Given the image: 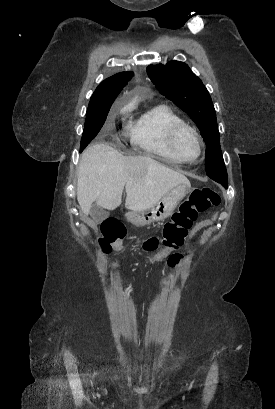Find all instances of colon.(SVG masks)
Listing matches in <instances>:
<instances>
[{"label":"colon","instance_id":"1","mask_svg":"<svg viewBox=\"0 0 275 409\" xmlns=\"http://www.w3.org/2000/svg\"><path fill=\"white\" fill-rule=\"evenodd\" d=\"M219 205L220 197L213 189L204 187L193 190L181 202L172 219L165 223L161 235L146 239L142 247L149 252L160 248L158 255L163 258L168 257L173 250L180 248L185 243L188 231L197 215L201 213L202 216H209L210 207ZM124 236L123 225L117 220L108 219L102 225L99 245L104 251L110 249L120 251ZM112 266L115 268L117 265L114 263Z\"/></svg>","mask_w":275,"mask_h":409}]
</instances>
